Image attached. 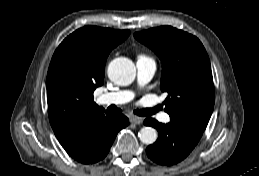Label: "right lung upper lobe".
Instances as JSON below:
<instances>
[{"label": "right lung upper lobe", "instance_id": "right-lung-upper-lobe-1", "mask_svg": "<svg viewBox=\"0 0 259 176\" xmlns=\"http://www.w3.org/2000/svg\"><path fill=\"white\" fill-rule=\"evenodd\" d=\"M130 32L85 26L66 37L51 59L46 86L52 129L68 148L86 136L107 112L94 102L103 84L107 56Z\"/></svg>", "mask_w": 259, "mask_h": 176}]
</instances>
